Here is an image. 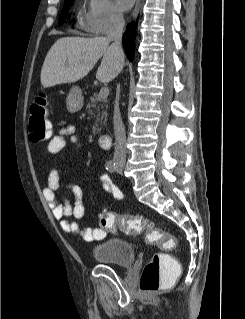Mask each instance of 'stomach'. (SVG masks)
Masks as SVG:
<instances>
[{
    "instance_id": "obj_1",
    "label": "stomach",
    "mask_w": 245,
    "mask_h": 319,
    "mask_svg": "<svg viewBox=\"0 0 245 319\" xmlns=\"http://www.w3.org/2000/svg\"><path fill=\"white\" fill-rule=\"evenodd\" d=\"M83 106L82 92L77 86H73L66 100V107L70 113H76L81 110Z\"/></svg>"
}]
</instances>
